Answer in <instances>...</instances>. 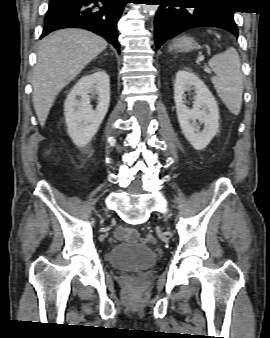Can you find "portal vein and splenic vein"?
<instances>
[{
    "label": "portal vein and splenic vein",
    "instance_id": "portal-vein-and-splenic-vein-1",
    "mask_svg": "<svg viewBox=\"0 0 270 338\" xmlns=\"http://www.w3.org/2000/svg\"><path fill=\"white\" fill-rule=\"evenodd\" d=\"M203 60H204V56L201 55V56L199 57L198 61H203Z\"/></svg>",
    "mask_w": 270,
    "mask_h": 338
}]
</instances>
